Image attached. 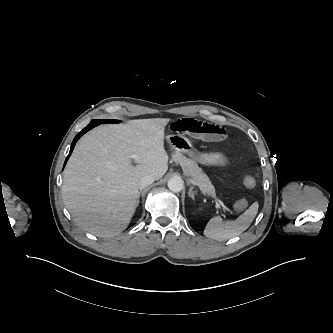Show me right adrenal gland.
<instances>
[{"instance_id": "right-adrenal-gland-1", "label": "right adrenal gland", "mask_w": 333, "mask_h": 333, "mask_svg": "<svg viewBox=\"0 0 333 333\" xmlns=\"http://www.w3.org/2000/svg\"><path fill=\"white\" fill-rule=\"evenodd\" d=\"M140 194H141V191L139 192V194H138V199H137V206H138V204H139V198H140Z\"/></svg>"}]
</instances>
